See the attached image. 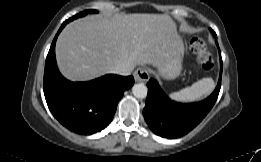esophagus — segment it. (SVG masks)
<instances>
[{"mask_svg": "<svg viewBox=\"0 0 261 162\" xmlns=\"http://www.w3.org/2000/svg\"><path fill=\"white\" fill-rule=\"evenodd\" d=\"M149 78H150L149 71L144 67L138 68L134 72V79L137 82H146L149 80Z\"/></svg>", "mask_w": 261, "mask_h": 162, "instance_id": "obj_1", "label": "esophagus"}]
</instances>
